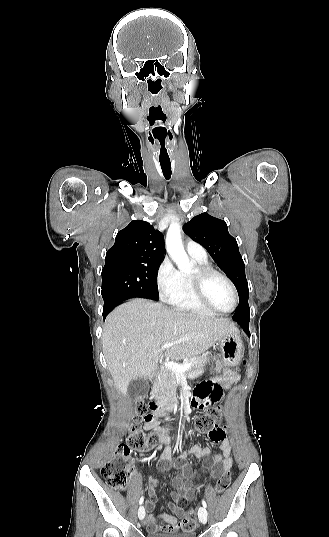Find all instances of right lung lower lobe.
Segmentation results:
<instances>
[{
    "instance_id": "right-lung-lower-lobe-1",
    "label": "right lung lower lobe",
    "mask_w": 329,
    "mask_h": 537,
    "mask_svg": "<svg viewBox=\"0 0 329 537\" xmlns=\"http://www.w3.org/2000/svg\"><path fill=\"white\" fill-rule=\"evenodd\" d=\"M128 298H125L123 296L118 295H110L104 300V307H103V318L105 319L106 316L111 312V310L118 304H120L122 301L126 300Z\"/></svg>"
}]
</instances>
